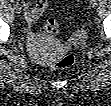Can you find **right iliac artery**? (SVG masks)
<instances>
[{
    "mask_svg": "<svg viewBox=\"0 0 111 106\" xmlns=\"http://www.w3.org/2000/svg\"><path fill=\"white\" fill-rule=\"evenodd\" d=\"M11 3H13V5H15V1L14 0H11Z\"/></svg>",
    "mask_w": 111,
    "mask_h": 106,
    "instance_id": "82829eb1",
    "label": "right iliac artery"
}]
</instances>
